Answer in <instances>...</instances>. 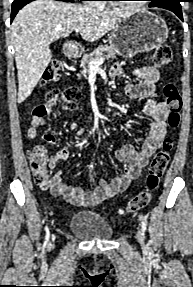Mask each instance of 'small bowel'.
Segmentation results:
<instances>
[{"mask_svg": "<svg viewBox=\"0 0 193 287\" xmlns=\"http://www.w3.org/2000/svg\"><path fill=\"white\" fill-rule=\"evenodd\" d=\"M112 69L117 72L122 68L120 64L116 63ZM134 73L140 82L127 85L125 93L131 99L147 98L143 112L152 120V124L146 139L140 148H136L132 143H127L117 149L114 155L124 163L122 172L110 181L100 180L99 184L94 188H77L67 185L63 181V170L55 171L50 179L53 196L62 197L66 201L76 205H97L107 198L124 191L132 180L139 177L142 168L146 166L149 158L160 148L167 132L168 116L167 107L158 99L157 83L160 79V73L154 67L138 68ZM38 127L39 123L32 120V125L27 131L29 138H36L38 136ZM68 127L77 136L84 134V128L79 127L75 122L69 123ZM44 139L48 143H53L56 137L53 133H46ZM68 157L69 150L67 148L59 150L51 156V167H55L60 161H65Z\"/></svg>", "mask_w": 193, "mask_h": 287, "instance_id": "small-bowel-1", "label": "small bowel"}]
</instances>
